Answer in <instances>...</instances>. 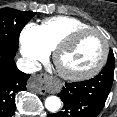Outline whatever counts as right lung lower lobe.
I'll return each mask as SVG.
<instances>
[{
	"label": "right lung lower lobe",
	"instance_id": "1",
	"mask_svg": "<svg viewBox=\"0 0 117 117\" xmlns=\"http://www.w3.org/2000/svg\"><path fill=\"white\" fill-rule=\"evenodd\" d=\"M0 117H12L15 112V94L26 90L30 75L21 72L14 56L0 49Z\"/></svg>",
	"mask_w": 117,
	"mask_h": 117
}]
</instances>
